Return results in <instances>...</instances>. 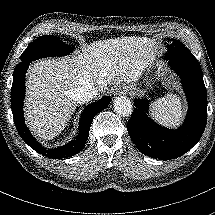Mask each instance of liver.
I'll use <instances>...</instances> for the list:
<instances>
[{
    "label": "liver",
    "mask_w": 215,
    "mask_h": 215,
    "mask_svg": "<svg viewBox=\"0 0 215 215\" xmlns=\"http://www.w3.org/2000/svg\"><path fill=\"white\" fill-rule=\"evenodd\" d=\"M153 46L147 37L125 36L94 41L72 57L33 62L26 74L27 127L38 139L52 140L75 112L79 87L89 85L105 94L108 85L137 81L154 58Z\"/></svg>",
    "instance_id": "6515ba94"
}]
</instances>
